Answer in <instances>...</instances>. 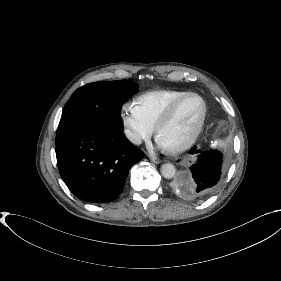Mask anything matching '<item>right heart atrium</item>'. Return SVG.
I'll return each mask as SVG.
<instances>
[{
  "mask_svg": "<svg viewBox=\"0 0 281 281\" xmlns=\"http://www.w3.org/2000/svg\"><path fill=\"white\" fill-rule=\"evenodd\" d=\"M121 119L129 140L139 144L153 132V126L145 119L135 102H125L121 106Z\"/></svg>",
  "mask_w": 281,
  "mask_h": 281,
  "instance_id": "right-heart-atrium-1",
  "label": "right heart atrium"
}]
</instances>
